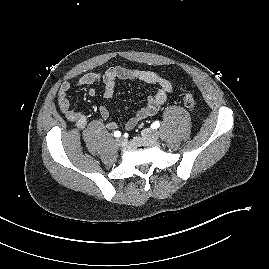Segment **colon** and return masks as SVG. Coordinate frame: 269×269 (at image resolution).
<instances>
[{
  "mask_svg": "<svg viewBox=\"0 0 269 269\" xmlns=\"http://www.w3.org/2000/svg\"><path fill=\"white\" fill-rule=\"evenodd\" d=\"M182 91H183V103L185 105V107H187L188 109H194L196 102L194 99V96L188 91L186 90V88L183 86L182 87Z\"/></svg>",
  "mask_w": 269,
  "mask_h": 269,
  "instance_id": "5ec220e1",
  "label": "colon"
}]
</instances>
